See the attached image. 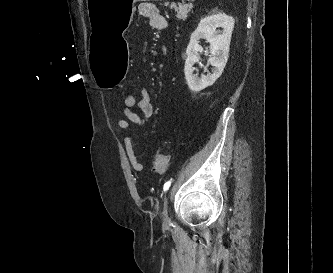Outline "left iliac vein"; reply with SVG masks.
Wrapping results in <instances>:
<instances>
[{
	"label": "left iliac vein",
	"mask_w": 333,
	"mask_h": 273,
	"mask_svg": "<svg viewBox=\"0 0 333 273\" xmlns=\"http://www.w3.org/2000/svg\"><path fill=\"white\" fill-rule=\"evenodd\" d=\"M162 219H163V225L168 226L169 223H170V218H169V215H168L167 198L164 199L163 210H162Z\"/></svg>",
	"instance_id": "1"
}]
</instances>
